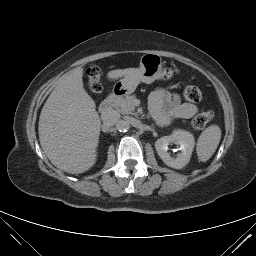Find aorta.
Instances as JSON below:
<instances>
[{"label":"aorta","mask_w":256,"mask_h":256,"mask_svg":"<svg viewBox=\"0 0 256 256\" xmlns=\"http://www.w3.org/2000/svg\"><path fill=\"white\" fill-rule=\"evenodd\" d=\"M116 126L119 131L126 132L130 129V122L127 120H120Z\"/></svg>","instance_id":"aorta-1"}]
</instances>
